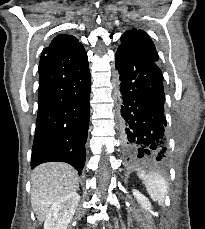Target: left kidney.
Wrapping results in <instances>:
<instances>
[{
  "label": "left kidney",
  "mask_w": 205,
  "mask_h": 229,
  "mask_svg": "<svg viewBox=\"0 0 205 229\" xmlns=\"http://www.w3.org/2000/svg\"><path fill=\"white\" fill-rule=\"evenodd\" d=\"M133 195L137 199L138 203L141 205L142 209L150 211L152 208L148 198L141 194L138 190H133Z\"/></svg>",
  "instance_id": "5707ae66"
}]
</instances>
